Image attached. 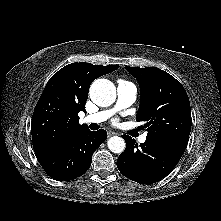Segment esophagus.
Segmentation results:
<instances>
[{"mask_svg": "<svg viewBox=\"0 0 221 221\" xmlns=\"http://www.w3.org/2000/svg\"><path fill=\"white\" fill-rule=\"evenodd\" d=\"M118 133L114 132V131H108V137L117 135Z\"/></svg>", "mask_w": 221, "mask_h": 221, "instance_id": "34e87169", "label": "esophagus"}]
</instances>
